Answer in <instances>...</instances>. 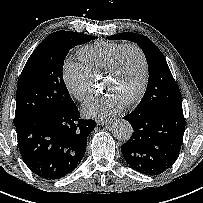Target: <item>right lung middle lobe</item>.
<instances>
[{
  "instance_id": "dd1d6c3e",
  "label": "right lung middle lobe",
  "mask_w": 203,
  "mask_h": 203,
  "mask_svg": "<svg viewBox=\"0 0 203 203\" xmlns=\"http://www.w3.org/2000/svg\"><path fill=\"white\" fill-rule=\"evenodd\" d=\"M96 38L72 31H57L38 45L19 78L15 126L74 104L63 80L64 60L74 46Z\"/></svg>"
}]
</instances>
